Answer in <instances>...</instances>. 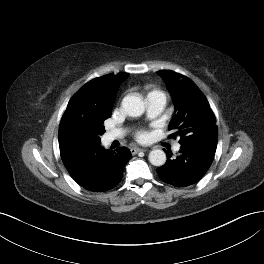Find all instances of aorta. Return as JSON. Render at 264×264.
<instances>
[{
    "label": "aorta",
    "instance_id": "1",
    "mask_svg": "<svg viewBox=\"0 0 264 264\" xmlns=\"http://www.w3.org/2000/svg\"><path fill=\"white\" fill-rule=\"evenodd\" d=\"M122 107L127 115L141 116L145 111L143 100L136 95H127L122 100ZM149 161L154 166H162L166 162V154L163 150L155 149L149 153Z\"/></svg>",
    "mask_w": 264,
    "mask_h": 264
}]
</instances>
